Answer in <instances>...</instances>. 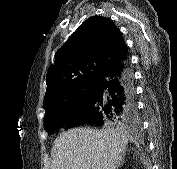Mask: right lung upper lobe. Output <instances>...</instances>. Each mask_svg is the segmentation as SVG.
I'll list each match as a JSON object with an SVG mask.
<instances>
[{"label":"right lung upper lobe","mask_w":177,"mask_h":169,"mask_svg":"<svg viewBox=\"0 0 177 169\" xmlns=\"http://www.w3.org/2000/svg\"><path fill=\"white\" fill-rule=\"evenodd\" d=\"M127 55L122 34L111 20L102 16L88 18L56 52L55 63L46 76L43 107L95 81L101 71Z\"/></svg>","instance_id":"obj_1"}]
</instances>
